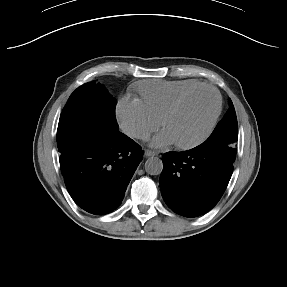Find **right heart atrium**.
I'll list each match as a JSON object with an SVG mask.
<instances>
[{
    "mask_svg": "<svg viewBox=\"0 0 287 287\" xmlns=\"http://www.w3.org/2000/svg\"><path fill=\"white\" fill-rule=\"evenodd\" d=\"M116 115L121 128L136 139H146L160 126V120L137 98L120 99L116 106Z\"/></svg>",
    "mask_w": 287,
    "mask_h": 287,
    "instance_id": "1",
    "label": "right heart atrium"
}]
</instances>
